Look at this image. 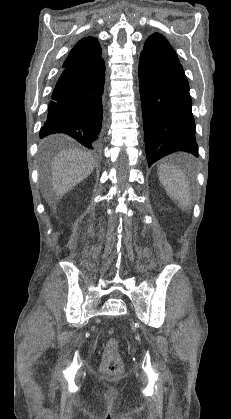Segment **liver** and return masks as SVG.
<instances>
[{
  "mask_svg": "<svg viewBox=\"0 0 231 419\" xmlns=\"http://www.w3.org/2000/svg\"><path fill=\"white\" fill-rule=\"evenodd\" d=\"M94 159L90 153L78 149L61 151L51 169L52 190L55 199H61L69 190L87 178L94 169Z\"/></svg>",
  "mask_w": 231,
  "mask_h": 419,
  "instance_id": "6515ba94",
  "label": "liver"
}]
</instances>
